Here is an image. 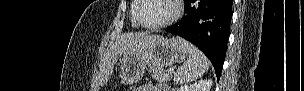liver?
Instances as JSON below:
<instances>
[{
	"label": "liver",
	"instance_id": "1",
	"mask_svg": "<svg viewBox=\"0 0 304 91\" xmlns=\"http://www.w3.org/2000/svg\"><path fill=\"white\" fill-rule=\"evenodd\" d=\"M155 35L145 33L125 34L113 43L106 53L100 64L99 84L105 85L111 77L114 65L118 58L129 51H135L143 48L148 41Z\"/></svg>",
	"mask_w": 304,
	"mask_h": 91
}]
</instances>
